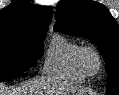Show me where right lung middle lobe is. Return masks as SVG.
Segmentation results:
<instances>
[{
    "mask_svg": "<svg viewBox=\"0 0 119 95\" xmlns=\"http://www.w3.org/2000/svg\"><path fill=\"white\" fill-rule=\"evenodd\" d=\"M47 31H18L0 35V82L11 80L43 55V39Z\"/></svg>",
    "mask_w": 119,
    "mask_h": 95,
    "instance_id": "obj_1",
    "label": "right lung middle lobe"
}]
</instances>
